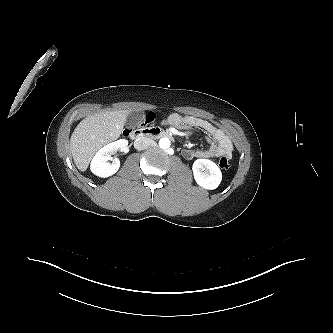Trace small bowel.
I'll use <instances>...</instances> for the list:
<instances>
[{
    "instance_id": "obj_1",
    "label": "small bowel",
    "mask_w": 333,
    "mask_h": 333,
    "mask_svg": "<svg viewBox=\"0 0 333 333\" xmlns=\"http://www.w3.org/2000/svg\"><path fill=\"white\" fill-rule=\"evenodd\" d=\"M164 124L177 129H194L206 132L210 138L207 149H185L183 155L187 159L212 158L219 156L231 157L233 145L227 134L214 124L190 115L182 116L177 113L171 114Z\"/></svg>"
}]
</instances>
